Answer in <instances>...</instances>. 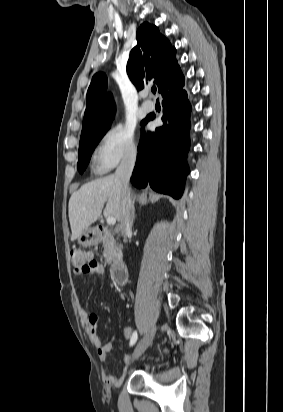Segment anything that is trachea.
Listing matches in <instances>:
<instances>
[{
    "label": "trachea",
    "mask_w": 283,
    "mask_h": 412,
    "mask_svg": "<svg viewBox=\"0 0 283 412\" xmlns=\"http://www.w3.org/2000/svg\"><path fill=\"white\" fill-rule=\"evenodd\" d=\"M152 92H153V94L156 93V87H152Z\"/></svg>",
    "instance_id": "trachea-1"
}]
</instances>
